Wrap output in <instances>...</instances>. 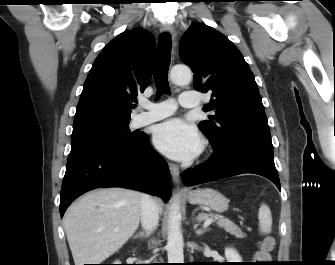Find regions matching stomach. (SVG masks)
Listing matches in <instances>:
<instances>
[{"label": "stomach", "instance_id": "1", "mask_svg": "<svg viewBox=\"0 0 335 265\" xmlns=\"http://www.w3.org/2000/svg\"><path fill=\"white\" fill-rule=\"evenodd\" d=\"M186 197L190 204L204 205L219 213L226 211L229 206L226 197L211 188L190 191Z\"/></svg>", "mask_w": 335, "mask_h": 265}]
</instances>
